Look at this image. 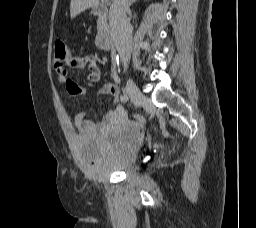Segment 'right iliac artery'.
Returning a JSON list of instances; mask_svg holds the SVG:
<instances>
[{"label": "right iliac artery", "instance_id": "1", "mask_svg": "<svg viewBox=\"0 0 256 228\" xmlns=\"http://www.w3.org/2000/svg\"><path fill=\"white\" fill-rule=\"evenodd\" d=\"M121 100H122L123 102H128V101H129L128 95H127V94H123V95L121 96Z\"/></svg>", "mask_w": 256, "mask_h": 228}]
</instances>
